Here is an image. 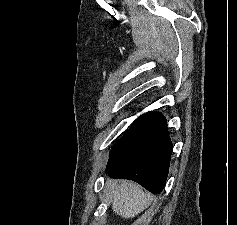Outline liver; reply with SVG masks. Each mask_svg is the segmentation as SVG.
Masks as SVG:
<instances>
[{"instance_id": "6515ba94", "label": "liver", "mask_w": 237, "mask_h": 225, "mask_svg": "<svg viewBox=\"0 0 237 225\" xmlns=\"http://www.w3.org/2000/svg\"><path fill=\"white\" fill-rule=\"evenodd\" d=\"M112 209L122 218H134L152 202V196L130 181L112 184Z\"/></svg>"}]
</instances>
